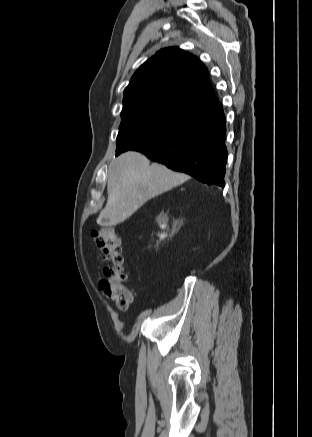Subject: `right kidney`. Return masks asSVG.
<instances>
[{"instance_id": "obj_1", "label": "right kidney", "mask_w": 312, "mask_h": 437, "mask_svg": "<svg viewBox=\"0 0 312 437\" xmlns=\"http://www.w3.org/2000/svg\"><path fill=\"white\" fill-rule=\"evenodd\" d=\"M162 228H164V226H161ZM161 237H164V235H161Z\"/></svg>"}]
</instances>
